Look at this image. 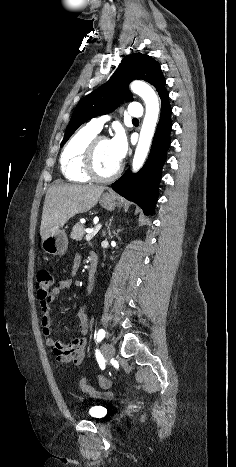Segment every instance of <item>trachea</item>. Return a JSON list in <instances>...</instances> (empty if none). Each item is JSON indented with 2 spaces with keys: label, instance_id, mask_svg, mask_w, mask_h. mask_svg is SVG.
I'll return each instance as SVG.
<instances>
[{
  "label": "trachea",
  "instance_id": "1",
  "mask_svg": "<svg viewBox=\"0 0 236 467\" xmlns=\"http://www.w3.org/2000/svg\"><path fill=\"white\" fill-rule=\"evenodd\" d=\"M133 121H134V122H138L139 120H138V119H136V118H134V119H133Z\"/></svg>",
  "mask_w": 236,
  "mask_h": 467
}]
</instances>
